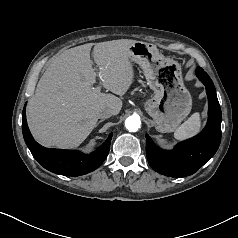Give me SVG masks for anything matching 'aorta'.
<instances>
[{"instance_id": "1", "label": "aorta", "mask_w": 238, "mask_h": 238, "mask_svg": "<svg viewBox=\"0 0 238 238\" xmlns=\"http://www.w3.org/2000/svg\"><path fill=\"white\" fill-rule=\"evenodd\" d=\"M125 127L130 132H136L141 127V120L138 116H129L125 120Z\"/></svg>"}]
</instances>
